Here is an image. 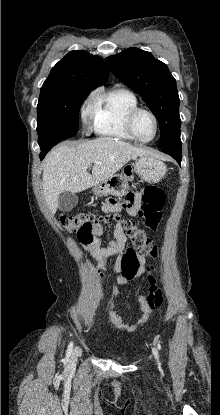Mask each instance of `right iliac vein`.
I'll return each mask as SVG.
<instances>
[{"instance_id": "right-iliac-vein-1", "label": "right iliac vein", "mask_w": 220, "mask_h": 415, "mask_svg": "<svg viewBox=\"0 0 220 415\" xmlns=\"http://www.w3.org/2000/svg\"><path fill=\"white\" fill-rule=\"evenodd\" d=\"M79 354H80V349L78 347H76L74 352L71 355V358H70V363L71 364L75 363V361H76Z\"/></svg>"}]
</instances>
